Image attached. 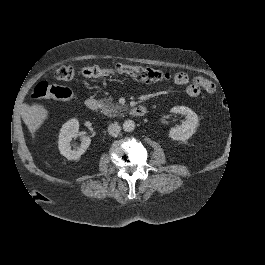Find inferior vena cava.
Returning <instances> with one entry per match:
<instances>
[{
	"label": "inferior vena cava",
	"mask_w": 265,
	"mask_h": 265,
	"mask_svg": "<svg viewBox=\"0 0 265 265\" xmlns=\"http://www.w3.org/2000/svg\"><path fill=\"white\" fill-rule=\"evenodd\" d=\"M119 132H120V126L117 122L109 124L108 133L111 136H117Z\"/></svg>",
	"instance_id": "inferior-vena-cava-1"
}]
</instances>
